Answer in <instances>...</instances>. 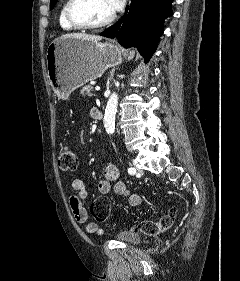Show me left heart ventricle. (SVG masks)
<instances>
[{
  "mask_svg": "<svg viewBox=\"0 0 240 281\" xmlns=\"http://www.w3.org/2000/svg\"><path fill=\"white\" fill-rule=\"evenodd\" d=\"M74 12L79 19L95 23L108 18L113 13V10L108 0H80Z\"/></svg>",
  "mask_w": 240,
  "mask_h": 281,
  "instance_id": "left-heart-ventricle-1",
  "label": "left heart ventricle"
}]
</instances>
